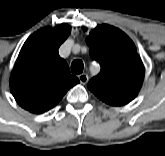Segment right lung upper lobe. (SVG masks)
Segmentation results:
<instances>
[{"label": "right lung upper lobe", "mask_w": 165, "mask_h": 156, "mask_svg": "<svg viewBox=\"0 0 165 156\" xmlns=\"http://www.w3.org/2000/svg\"><path fill=\"white\" fill-rule=\"evenodd\" d=\"M70 30L67 24L44 27L33 33L22 46L10 77V89L25 110L44 113L79 83L58 53Z\"/></svg>", "instance_id": "obj_1"}]
</instances>
